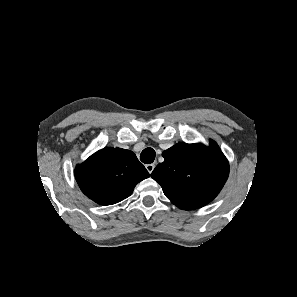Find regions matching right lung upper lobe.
Here are the masks:
<instances>
[{
    "label": "right lung upper lobe",
    "mask_w": 297,
    "mask_h": 297,
    "mask_svg": "<svg viewBox=\"0 0 297 297\" xmlns=\"http://www.w3.org/2000/svg\"><path fill=\"white\" fill-rule=\"evenodd\" d=\"M149 176L132 151L113 147L99 150L75 169L82 192L101 205L124 200L137 183Z\"/></svg>",
    "instance_id": "1"
}]
</instances>
